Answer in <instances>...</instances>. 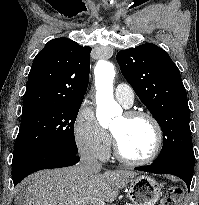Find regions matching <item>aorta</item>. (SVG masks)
Masks as SVG:
<instances>
[{
  "mask_svg": "<svg viewBox=\"0 0 199 205\" xmlns=\"http://www.w3.org/2000/svg\"><path fill=\"white\" fill-rule=\"evenodd\" d=\"M115 68L109 61H100L95 68L97 119L101 126L109 124L113 115L122 112L113 96Z\"/></svg>",
  "mask_w": 199,
  "mask_h": 205,
  "instance_id": "1",
  "label": "aorta"
}]
</instances>
